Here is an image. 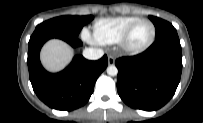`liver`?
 <instances>
[{"instance_id": "6515ba94", "label": "liver", "mask_w": 203, "mask_h": 123, "mask_svg": "<svg viewBox=\"0 0 203 123\" xmlns=\"http://www.w3.org/2000/svg\"><path fill=\"white\" fill-rule=\"evenodd\" d=\"M73 55L69 45L61 40L52 39L43 46L40 59L47 71L58 72L69 64Z\"/></svg>"}]
</instances>
